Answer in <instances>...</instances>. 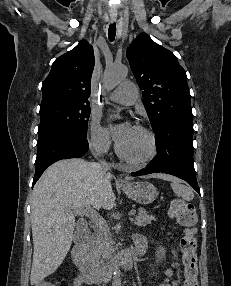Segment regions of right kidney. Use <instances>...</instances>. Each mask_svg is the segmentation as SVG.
<instances>
[{
    "label": "right kidney",
    "mask_w": 231,
    "mask_h": 286,
    "mask_svg": "<svg viewBox=\"0 0 231 286\" xmlns=\"http://www.w3.org/2000/svg\"><path fill=\"white\" fill-rule=\"evenodd\" d=\"M82 283H83L82 277L78 276L74 281V286H81Z\"/></svg>",
    "instance_id": "obj_1"
}]
</instances>
